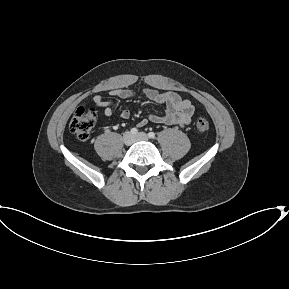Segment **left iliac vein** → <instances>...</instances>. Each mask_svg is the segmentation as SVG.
Returning <instances> with one entry per match:
<instances>
[{"mask_svg":"<svg viewBox=\"0 0 289 289\" xmlns=\"http://www.w3.org/2000/svg\"><path fill=\"white\" fill-rule=\"evenodd\" d=\"M148 135L144 132H140L134 136V141H148Z\"/></svg>","mask_w":289,"mask_h":289,"instance_id":"1","label":"left iliac vein"}]
</instances>
